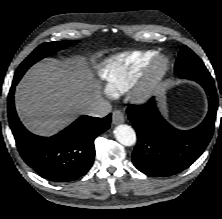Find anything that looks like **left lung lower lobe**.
Wrapping results in <instances>:
<instances>
[{
  "label": "left lung lower lobe",
  "mask_w": 222,
  "mask_h": 219,
  "mask_svg": "<svg viewBox=\"0 0 222 219\" xmlns=\"http://www.w3.org/2000/svg\"><path fill=\"white\" fill-rule=\"evenodd\" d=\"M198 83L209 96V111L200 125L188 131L167 123L154 97L144 105L128 106L127 114L138 137L132 162L144 174L153 177L177 174L198 159L207 147L215 127L218 96L214 82Z\"/></svg>",
  "instance_id": "0a47b994"
}]
</instances>
